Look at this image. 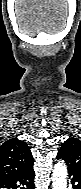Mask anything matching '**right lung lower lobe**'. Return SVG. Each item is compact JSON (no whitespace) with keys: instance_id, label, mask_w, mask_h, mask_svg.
I'll return each instance as SVG.
<instances>
[{"instance_id":"1","label":"right lung lower lobe","mask_w":81,"mask_h":189,"mask_svg":"<svg viewBox=\"0 0 81 189\" xmlns=\"http://www.w3.org/2000/svg\"><path fill=\"white\" fill-rule=\"evenodd\" d=\"M33 162L25 169L0 180V189H34Z\"/></svg>"}]
</instances>
